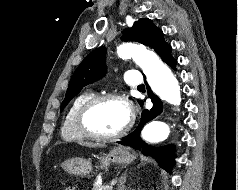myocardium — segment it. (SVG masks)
<instances>
[{"mask_svg":"<svg viewBox=\"0 0 238 190\" xmlns=\"http://www.w3.org/2000/svg\"><path fill=\"white\" fill-rule=\"evenodd\" d=\"M108 100H117L122 102L128 109L129 117L125 126L118 132L113 134H102L94 131L88 125L87 119L90 112L100 103ZM134 123V111L129 100L122 94L116 92H109L100 95H95L90 98L79 110L76 118V124L80 133L88 139L96 141H113L123 137L129 132Z\"/></svg>","mask_w":238,"mask_h":190,"instance_id":"f54148a6","label":"myocardium"}]
</instances>
